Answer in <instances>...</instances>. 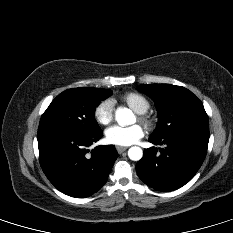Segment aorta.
I'll return each mask as SVG.
<instances>
[{
  "mask_svg": "<svg viewBox=\"0 0 233 233\" xmlns=\"http://www.w3.org/2000/svg\"><path fill=\"white\" fill-rule=\"evenodd\" d=\"M115 120L120 126H126L133 124L135 118L130 109L118 108L115 112ZM128 156L133 161H139L143 156V151L140 147L134 146L128 150Z\"/></svg>",
  "mask_w": 233,
  "mask_h": 233,
  "instance_id": "aorta-1",
  "label": "aorta"
}]
</instances>
